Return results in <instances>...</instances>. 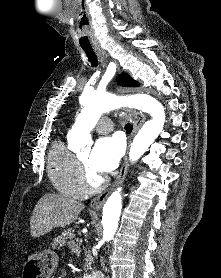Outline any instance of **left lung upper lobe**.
<instances>
[{
    "label": "left lung upper lobe",
    "mask_w": 221,
    "mask_h": 278,
    "mask_svg": "<svg viewBox=\"0 0 221 278\" xmlns=\"http://www.w3.org/2000/svg\"><path fill=\"white\" fill-rule=\"evenodd\" d=\"M118 82L120 85L128 87H136L140 85L138 82L134 81L130 76L126 74H121L118 78Z\"/></svg>",
    "instance_id": "5c2ea615"
}]
</instances>
